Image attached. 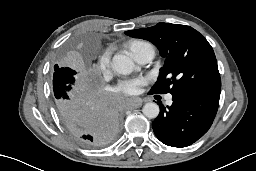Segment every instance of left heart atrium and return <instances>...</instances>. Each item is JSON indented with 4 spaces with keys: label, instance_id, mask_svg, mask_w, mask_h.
Here are the masks:
<instances>
[{
    "label": "left heart atrium",
    "instance_id": "left-heart-atrium-1",
    "mask_svg": "<svg viewBox=\"0 0 256 171\" xmlns=\"http://www.w3.org/2000/svg\"><path fill=\"white\" fill-rule=\"evenodd\" d=\"M143 84L144 80L141 78L129 79L121 82L117 87V91L128 96H134L139 94Z\"/></svg>",
    "mask_w": 256,
    "mask_h": 171
}]
</instances>
